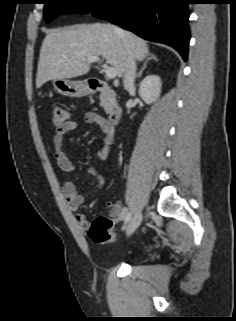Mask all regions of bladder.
Instances as JSON below:
<instances>
[{
  "label": "bladder",
  "mask_w": 236,
  "mask_h": 321,
  "mask_svg": "<svg viewBox=\"0 0 236 321\" xmlns=\"http://www.w3.org/2000/svg\"><path fill=\"white\" fill-rule=\"evenodd\" d=\"M135 258H136L135 255H132V256L129 257V259H131V260H133V259H135Z\"/></svg>",
  "instance_id": "obj_1"
}]
</instances>
